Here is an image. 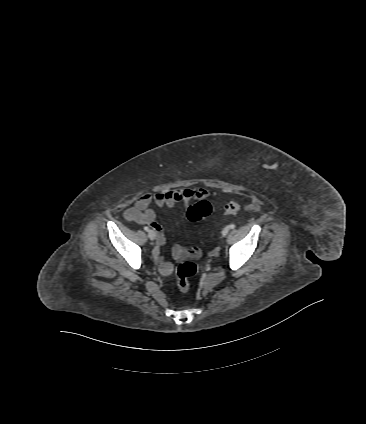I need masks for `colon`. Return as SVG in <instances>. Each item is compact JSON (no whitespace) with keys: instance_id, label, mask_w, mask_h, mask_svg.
<instances>
[{"instance_id":"obj_1","label":"colon","mask_w":366,"mask_h":424,"mask_svg":"<svg viewBox=\"0 0 366 424\" xmlns=\"http://www.w3.org/2000/svg\"><path fill=\"white\" fill-rule=\"evenodd\" d=\"M240 203L238 202H230L225 206L224 214L233 215L240 210ZM212 212V205L207 200H201L194 205L188 207L186 212V217L191 222L200 221ZM191 255L196 257L199 255V250L197 248H193L191 250ZM197 271V266L194 262L184 261L178 265L176 269V281L177 287L181 293H187L190 289L189 279L192 277Z\"/></svg>"}]
</instances>
